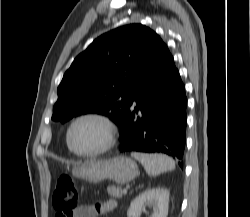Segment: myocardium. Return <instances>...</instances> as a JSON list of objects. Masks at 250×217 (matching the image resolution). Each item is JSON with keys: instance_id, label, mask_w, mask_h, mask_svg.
I'll use <instances>...</instances> for the list:
<instances>
[{"instance_id": "obj_1", "label": "myocardium", "mask_w": 250, "mask_h": 217, "mask_svg": "<svg viewBox=\"0 0 250 217\" xmlns=\"http://www.w3.org/2000/svg\"><path fill=\"white\" fill-rule=\"evenodd\" d=\"M88 119L96 120L102 124V126L105 129V139L102 145L98 147L97 149L92 150V151L82 152L74 148L72 141H71V134L76 124H78L79 122L83 120H88ZM116 137H117V128L113 120L109 116L100 112H95V111L85 112L75 117L70 122L66 131V142H67L69 149L75 155L80 156V157H96V156L106 153L114 146L116 142Z\"/></svg>"}]
</instances>
